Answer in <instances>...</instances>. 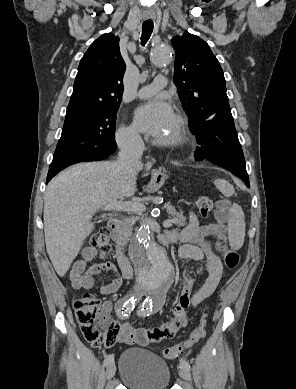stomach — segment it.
Instances as JSON below:
<instances>
[{
	"label": "stomach",
	"instance_id": "stomach-1",
	"mask_svg": "<svg viewBox=\"0 0 296 389\" xmlns=\"http://www.w3.org/2000/svg\"><path fill=\"white\" fill-rule=\"evenodd\" d=\"M168 173L164 168H155L152 172V180L148 185L150 191L157 190L160 186L165 185Z\"/></svg>",
	"mask_w": 296,
	"mask_h": 389
}]
</instances>
